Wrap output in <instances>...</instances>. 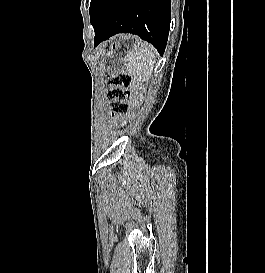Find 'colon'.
<instances>
[{"instance_id":"5ec220e1","label":"colon","mask_w":265,"mask_h":273,"mask_svg":"<svg viewBox=\"0 0 265 273\" xmlns=\"http://www.w3.org/2000/svg\"><path fill=\"white\" fill-rule=\"evenodd\" d=\"M131 82V77L123 73L112 74L108 83L110 89L107 94L109 107L115 114H125L128 111V99L130 91L128 89Z\"/></svg>"}]
</instances>
